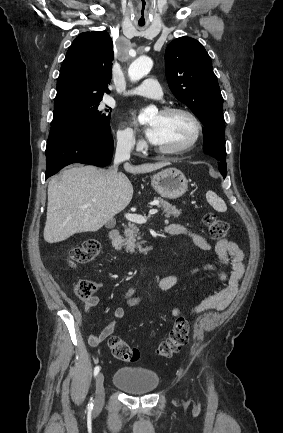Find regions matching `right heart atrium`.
I'll return each instance as SVG.
<instances>
[{
    "label": "right heart atrium",
    "mask_w": 283,
    "mask_h": 433,
    "mask_svg": "<svg viewBox=\"0 0 283 433\" xmlns=\"http://www.w3.org/2000/svg\"><path fill=\"white\" fill-rule=\"evenodd\" d=\"M115 142L122 150H132L135 147L141 146V143L137 141L134 131L126 125H121L116 129Z\"/></svg>",
    "instance_id": "1"
}]
</instances>
